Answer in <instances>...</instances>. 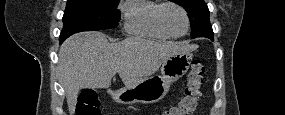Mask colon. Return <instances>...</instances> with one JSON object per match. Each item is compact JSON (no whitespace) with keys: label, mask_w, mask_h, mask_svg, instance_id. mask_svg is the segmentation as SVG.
<instances>
[{"label":"colon","mask_w":285,"mask_h":115,"mask_svg":"<svg viewBox=\"0 0 285 115\" xmlns=\"http://www.w3.org/2000/svg\"><path fill=\"white\" fill-rule=\"evenodd\" d=\"M205 66L202 61L194 60L187 75L183 94L176 105L164 111L163 115H192L201 98V87L204 80ZM78 115H99V102L91 90L80 94L76 107Z\"/></svg>","instance_id":"obj_1"}]
</instances>
